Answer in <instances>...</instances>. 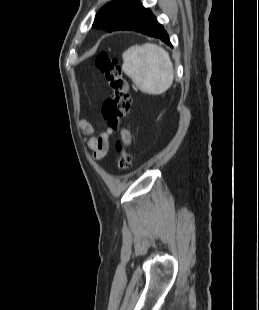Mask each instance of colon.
Listing matches in <instances>:
<instances>
[{"label":"colon","instance_id":"obj_1","mask_svg":"<svg viewBox=\"0 0 259 310\" xmlns=\"http://www.w3.org/2000/svg\"><path fill=\"white\" fill-rule=\"evenodd\" d=\"M95 63L111 92V96L102 104L101 114L108 128L117 131L125 124L131 109L129 85L118 60L111 54L99 53ZM116 149L119 152V171H130L133 158L122 138L117 139Z\"/></svg>","mask_w":259,"mask_h":310}]
</instances>
